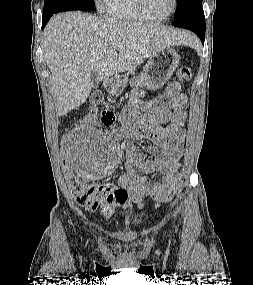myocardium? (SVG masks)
I'll use <instances>...</instances> for the list:
<instances>
[{
  "instance_id": "1",
  "label": "myocardium",
  "mask_w": 253,
  "mask_h": 285,
  "mask_svg": "<svg viewBox=\"0 0 253 285\" xmlns=\"http://www.w3.org/2000/svg\"><path fill=\"white\" fill-rule=\"evenodd\" d=\"M137 8L145 20L152 21V22H163L168 20L177 10L178 0H173V5L171 11L164 17L155 18L150 16L145 8V0H136Z\"/></svg>"
}]
</instances>
